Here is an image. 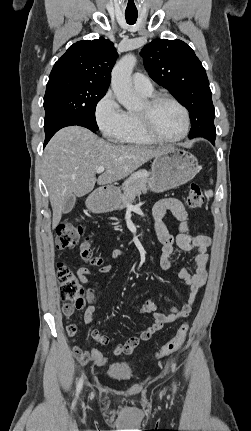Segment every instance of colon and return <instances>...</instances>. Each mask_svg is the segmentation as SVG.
<instances>
[{
	"instance_id": "5ec220e1",
	"label": "colon",
	"mask_w": 251,
	"mask_h": 431,
	"mask_svg": "<svg viewBox=\"0 0 251 431\" xmlns=\"http://www.w3.org/2000/svg\"><path fill=\"white\" fill-rule=\"evenodd\" d=\"M205 196L196 183H193L189 187L187 195V204L191 208H199L203 205ZM83 234V227L72 221H64L60 223L56 229V246L59 249H70L74 248ZM79 254L82 260L91 265H101L103 260L93 254L90 249L88 241H84L79 247ZM57 276L60 286V294L65 302L63 312H71L74 309H80L85 304V293L84 289L79 282L76 275L68 269L64 264L59 263L57 267ZM188 332V324L183 323L175 336L163 345L160 350L155 354L156 358L166 357L176 350H178L183 342L185 341ZM89 349H93V346H89ZM91 361L93 365L104 368L107 364V360H111V355L95 350L90 352Z\"/></svg>"
}]
</instances>
